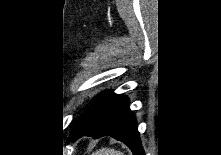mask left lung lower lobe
<instances>
[{
    "label": "left lung lower lobe",
    "instance_id": "1",
    "mask_svg": "<svg viewBox=\"0 0 221 155\" xmlns=\"http://www.w3.org/2000/svg\"><path fill=\"white\" fill-rule=\"evenodd\" d=\"M83 135L94 138L109 135L123 141L134 155H145L128 98L122 95L105 91L94 98L89 111L72 129L69 140Z\"/></svg>",
    "mask_w": 221,
    "mask_h": 155
}]
</instances>
